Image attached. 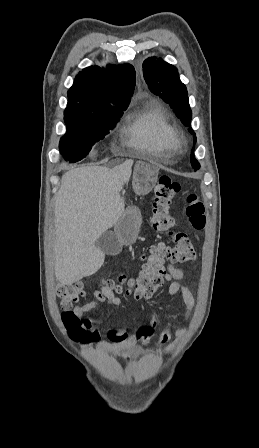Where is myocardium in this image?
Masks as SVG:
<instances>
[{"label": "myocardium", "mask_w": 259, "mask_h": 448, "mask_svg": "<svg viewBox=\"0 0 259 448\" xmlns=\"http://www.w3.org/2000/svg\"><path fill=\"white\" fill-rule=\"evenodd\" d=\"M169 143L170 150L166 153L156 152L151 155L143 152L144 157H150L151 163H174L180 156L185 153L187 142L183 135L174 130L170 135Z\"/></svg>", "instance_id": "f54148a6"}]
</instances>
